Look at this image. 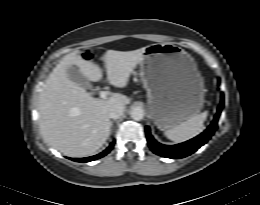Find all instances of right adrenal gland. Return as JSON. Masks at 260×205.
Here are the masks:
<instances>
[{"label":"right adrenal gland","instance_id":"2a0ac1e0","mask_svg":"<svg viewBox=\"0 0 260 205\" xmlns=\"http://www.w3.org/2000/svg\"><path fill=\"white\" fill-rule=\"evenodd\" d=\"M111 127H113V122H111Z\"/></svg>","mask_w":260,"mask_h":205}]
</instances>
